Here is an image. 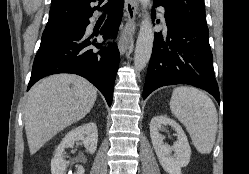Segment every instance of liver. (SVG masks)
<instances>
[{
	"label": "liver",
	"mask_w": 249,
	"mask_h": 174,
	"mask_svg": "<svg viewBox=\"0 0 249 174\" xmlns=\"http://www.w3.org/2000/svg\"><path fill=\"white\" fill-rule=\"evenodd\" d=\"M96 97V88L73 74L52 75L33 87L24 115L30 154L34 155L57 133L84 118Z\"/></svg>",
	"instance_id": "obj_1"
}]
</instances>
